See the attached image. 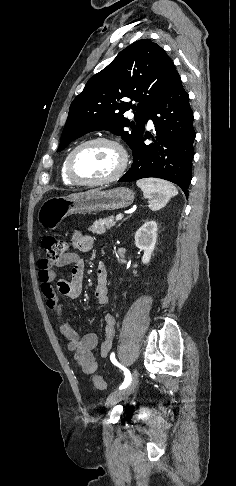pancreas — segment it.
Returning a JSON list of instances; mask_svg holds the SVG:
<instances>
[{
    "label": "pancreas",
    "mask_w": 236,
    "mask_h": 486,
    "mask_svg": "<svg viewBox=\"0 0 236 486\" xmlns=\"http://www.w3.org/2000/svg\"><path fill=\"white\" fill-rule=\"evenodd\" d=\"M115 225L114 216H109L106 218H101L93 223L91 227H89V231L94 234H103L107 230L111 229Z\"/></svg>",
    "instance_id": "obj_1"
}]
</instances>
